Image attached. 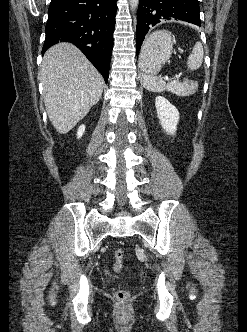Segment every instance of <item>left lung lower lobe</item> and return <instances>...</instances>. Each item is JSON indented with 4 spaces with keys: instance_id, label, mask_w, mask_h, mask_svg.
Wrapping results in <instances>:
<instances>
[{
    "instance_id": "left-lung-lower-lobe-1",
    "label": "left lung lower lobe",
    "mask_w": 247,
    "mask_h": 332,
    "mask_svg": "<svg viewBox=\"0 0 247 332\" xmlns=\"http://www.w3.org/2000/svg\"><path fill=\"white\" fill-rule=\"evenodd\" d=\"M198 0H139L136 50L139 54L147 32L163 20L179 19L201 26Z\"/></svg>"
}]
</instances>
